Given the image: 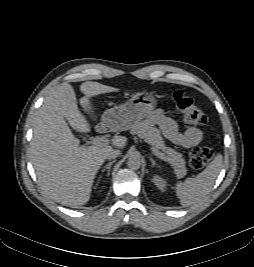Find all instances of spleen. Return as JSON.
Segmentation results:
<instances>
[{
  "label": "spleen",
  "mask_w": 254,
  "mask_h": 267,
  "mask_svg": "<svg viewBox=\"0 0 254 267\" xmlns=\"http://www.w3.org/2000/svg\"><path fill=\"white\" fill-rule=\"evenodd\" d=\"M222 162L223 158L219 154L195 178H187L175 184V192L182 206L195 204L209 194L221 171Z\"/></svg>",
  "instance_id": "spleen-1"
}]
</instances>
